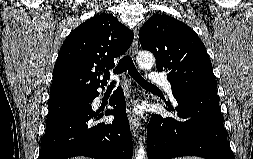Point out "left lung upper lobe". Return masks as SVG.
<instances>
[{
    "mask_svg": "<svg viewBox=\"0 0 253 159\" xmlns=\"http://www.w3.org/2000/svg\"><path fill=\"white\" fill-rule=\"evenodd\" d=\"M139 40L144 50L154 54L157 70L167 72L173 94H217L205 46L187 25L166 14L154 15L140 29Z\"/></svg>",
    "mask_w": 253,
    "mask_h": 159,
    "instance_id": "5c2ea615",
    "label": "left lung upper lobe"
}]
</instances>
